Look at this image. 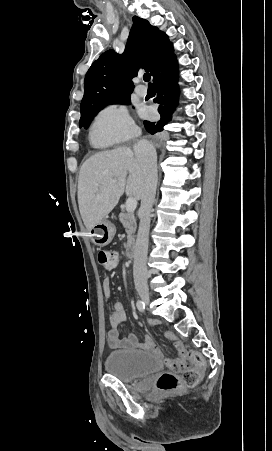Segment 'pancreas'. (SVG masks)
<instances>
[{"instance_id":"cf45deb5","label":"pancreas","mask_w":272,"mask_h":451,"mask_svg":"<svg viewBox=\"0 0 272 451\" xmlns=\"http://www.w3.org/2000/svg\"><path fill=\"white\" fill-rule=\"evenodd\" d=\"M119 220L121 224L125 227L127 233V243L126 247H131L135 241V231H136V220L134 214H119Z\"/></svg>"}]
</instances>
